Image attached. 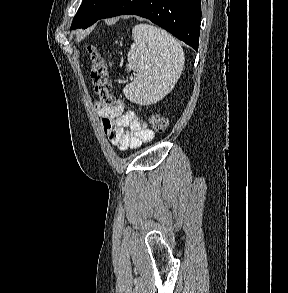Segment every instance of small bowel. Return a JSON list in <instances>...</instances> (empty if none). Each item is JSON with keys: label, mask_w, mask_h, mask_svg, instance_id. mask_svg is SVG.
<instances>
[{"label": "small bowel", "mask_w": 288, "mask_h": 293, "mask_svg": "<svg viewBox=\"0 0 288 293\" xmlns=\"http://www.w3.org/2000/svg\"><path fill=\"white\" fill-rule=\"evenodd\" d=\"M103 130L110 143L121 151L138 149L154 139V133L133 111H126L124 101L115 99L111 106L96 104Z\"/></svg>", "instance_id": "obj_1"}]
</instances>
